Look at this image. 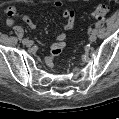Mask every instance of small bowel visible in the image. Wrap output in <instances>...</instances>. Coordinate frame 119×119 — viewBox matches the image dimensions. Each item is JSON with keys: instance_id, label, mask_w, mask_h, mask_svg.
Wrapping results in <instances>:
<instances>
[{"instance_id": "small-bowel-1", "label": "small bowel", "mask_w": 119, "mask_h": 119, "mask_svg": "<svg viewBox=\"0 0 119 119\" xmlns=\"http://www.w3.org/2000/svg\"><path fill=\"white\" fill-rule=\"evenodd\" d=\"M53 6L56 9H62V15L66 19V23L64 25V30L70 31L74 26V20L75 15L73 10L69 8H65L64 4L61 1H55L53 3ZM7 19L6 24L8 26H12L15 22V16L18 15L17 9L15 7H10L6 11ZM21 19L32 29H36L37 23L27 14H21ZM67 34L61 33L58 35V37L51 43L50 45V54L48 55L46 59L47 65L52 68L54 66V58L55 56L59 55L63 48L65 47V40H66Z\"/></svg>"}]
</instances>
